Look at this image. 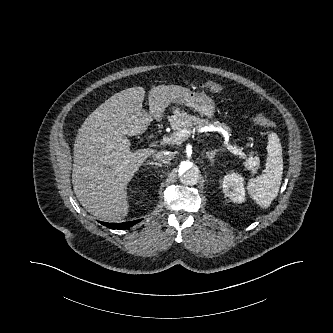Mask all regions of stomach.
<instances>
[{"label":"stomach","mask_w":333,"mask_h":333,"mask_svg":"<svg viewBox=\"0 0 333 333\" xmlns=\"http://www.w3.org/2000/svg\"><path fill=\"white\" fill-rule=\"evenodd\" d=\"M175 102L192 108L201 116L211 118L215 112L214 101L205 93L188 91L184 96L177 99Z\"/></svg>","instance_id":"1"}]
</instances>
